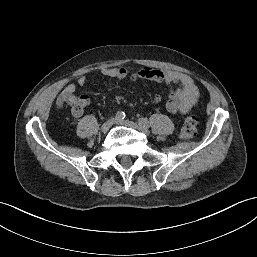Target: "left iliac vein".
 <instances>
[{"label":"left iliac vein","mask_w":257,"mask_h":257,"mask_svg":"<svg viewBox=\"0 0 257 257\" xmlns=\"http://www.w3.org/2000/svg\"><path fill=\"white\" fill-rule=\"evenodd\" d=\"M115 123L119 124V125H123V126L134 128V129H136L138 131H141L145 135H149L150 134L148 128H146V127L144 128L140 124L132 122V121H129V120H116Z\"/></svg>","instance_id":"left-iliac-vein-1"}]
</instances>
